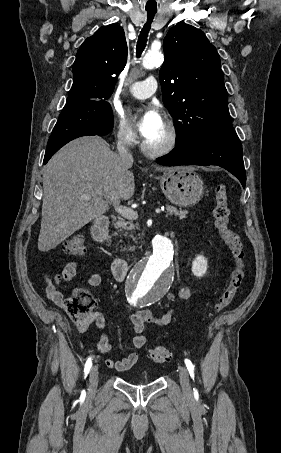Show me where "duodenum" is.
<instances>
[{"mask_svg":"<svg viewBox=\"0 0 281 453\" xmlns=\"http://www.w3.org/2000/svg\"><path fill=\"white\" fill-rule=\"evenodd\" d=\"M92 234L96 241L106 242L109 239V221L107 219L97 220L92 228ZM131 265L123 258L117 257L112 262V273L117 281H123Z\"/></svg>","mask_w":281,"mask_h":453,"instance_id":"1","label":"duodenum"}]
</instances>
